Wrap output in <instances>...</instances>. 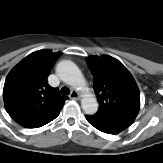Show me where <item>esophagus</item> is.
<instances>
[{
	"mask_svg": "<svg viewBox=\"0 0 163 163\" xmlns=\"http://www.w3.org/2000/svg\"><path fill=\"white\" fill-rule=\"evenodd\" d=\"M69 97H70L71 99H74V100H79V99L81 98V95H80L79 92L73 90V91H71Z\"/></svg>",
	"mask_w": 163,
	"mask_h": 163,
	"instance_id": "esophagus-1",
	"label": "esophagus"
}]
</instances>
